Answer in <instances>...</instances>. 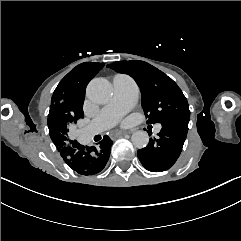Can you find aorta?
<instances>
[{"label": "aorta", "mask_w": 241, "mask_h": 241, "mask_svg": "<svg viewBox=\"0 0 241 241\" xmlns=\"http://www.w3.org/2000/svg\"><path fill=\"white\" fill-rule=\"evenodd\" d=\"M88 98L98 104H105L112 96L111 84L104 78H95L87 86ZM131 141L136 148L142 149L149 143L146 131H136L131 136Z\"/></svg>", "instance_id": "aorta-1"}]
</instances>
